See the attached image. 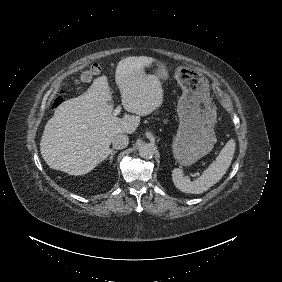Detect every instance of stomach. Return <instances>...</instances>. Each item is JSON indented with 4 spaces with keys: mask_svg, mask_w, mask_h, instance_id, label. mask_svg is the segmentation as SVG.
Returning a JSON list of instances; mask_svg holds the SVG:
<instances>
[{
    "mask_svg": "<svg viewBox=\"0 0 282 282\" xmlns=\"http://www.w3.org/2000/svg\"><path fill=\"white\" fill-rule=\"evenodd\" d=\"M143 67L161 83L170 78V68L163 60L150 58ZM173 76L182 89L177 105L180 126L174 139V152L181 164L189 165L208 153L216 142L217 114L212 104L209 80L204 75L179 66Z\"/></svg>",
    "mask_w": 282,
    "mask_h": 282,
    "instance_id": "stomach-1",
    "label": "stomach"
}]
</instances>
